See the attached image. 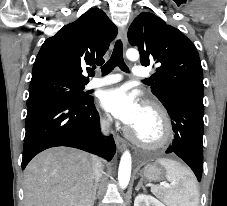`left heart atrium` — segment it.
Returning a JSON list of instances; mask_svg holds the SVG:
<instances>
[{
  "label": "left heart atrium",
  "mask_w": 227,
  "mask_h": 206,
  "mask_svg": "<svg viewBox=\"0 0 227 206\" xmlns=\"http://www.w3.org/2000/svg\"><path fill=\"white\" fill-rule=\"evenodd\" d=\"M102 107L121 122L135 128L144 107L126 87L118 86L105 90L101 95Z\"/></svg>",
  "instance_id": "obj_1"
}]
</instances>
